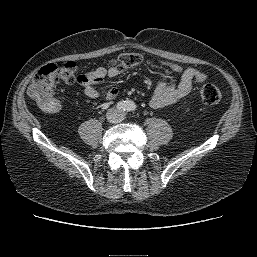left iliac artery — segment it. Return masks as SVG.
<instances>
[{
  "mask_svg": "<svg viewBox=\"0 0 257 257\" xmlns=\"http://www.w3.org/2000/svg\"><path fill=\"white\" fill-rule=\"evenodd\" d=\"M125 110L127 112H130V111H135L136 110V105L134 102L132 101H127L126 102V106H125Z\"/></svg>",
  "mask_w": 257,
  "mask_h": 257,
  "instance_id": "left-iliac-artery-1",
  "label": "left iliac artery"
}]
</instances>
